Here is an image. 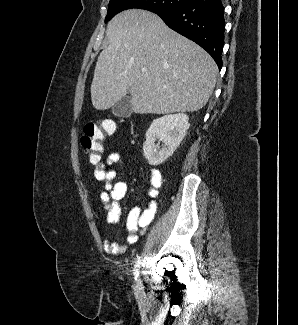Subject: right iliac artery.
Wrapping results in <instances>:
<instances>
[{"label": "right iliac artery", "mask_w": 298, "mask_h": 325, "mask_svg": "<svg viewBox=\"0 0 298 325\" xmlns=\"http://www.w3.org/2000/svg\"><path fill=\"white\" fill-rule=\"evenodd\" d=\"M139 268H140V257L138 258L134 267L133 275L135 280H137V277L139 276Z\"/></svg>", "instance_id": "right-iliac-artery-1"}]
</instances>
